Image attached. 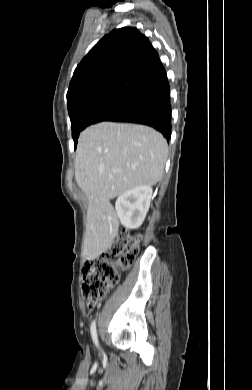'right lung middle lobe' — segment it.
<instances>
[{
	"instance_id": "dd1d6c3e",
	"label": "right lung middle lobe",
	"mask_w": 252,
	"mask_h": 390,
	"mask_svg": "<svg viewBox=\"0 0 252 390\" xmlns=\"http://www.w3.org/2000/svg\"><path fill=\"white\" fill-rule=\"evenodd\" d=\"M135 98L107 96L91 100L73 109L70 113L72 138L76 147L80 132L87 126L106 121L109 117L128 107Z\"/></svg>"
}]
</instances>
